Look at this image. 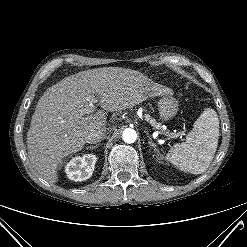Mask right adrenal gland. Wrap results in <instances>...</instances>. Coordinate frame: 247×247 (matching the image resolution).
I'll return each instance as SVG.
<instances>
[{
    "label": "right adrenal gland",
    "mask_w": 247,
    "mask_h": 247,
    "mask_svg": "<svg viewBox=\"0 0 247 247\" xmlns=\"http://www.w3.org/2000/svg\"><path fill=\"white\" fill-rule=\"evenodd\" d=\"M97 147H99V145H96V146H88L87 149H95Z\"/></svg>",
    "instance_id": "obj_1"
}]
</instances>
